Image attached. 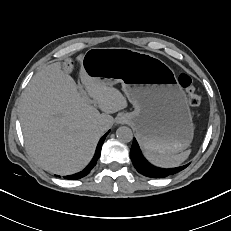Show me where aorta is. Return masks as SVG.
<instances>
[{
	"label": "aorta",
	"instance_id": "aorta-1",
	"mask_svg": "<svg viewBox=\"0 0 231 231\" xmlns=\"http://www.w3.org/2000/svg\"><path fill=\"white\" fill-rule=\"evenodd\" d=\"M116 136L119 141L128 143L133 139L132 130L129 127L121 126L116 131Z\"/></svg>",
	"mask_w": 231,
	"mask_h": 231
}]
</instances>
